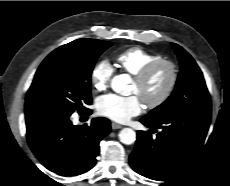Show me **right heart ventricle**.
<instances>
[{
    "label": "right heart ventricle",
    "mask_w": 230,
    "mask_h": 186,
    "mask_svg": "<svg viewBox=\"0 0 230 186\" xmlns=\"http://www.w3.org/2000/svg\"><path fill=\"white\" fill-rule=\"evenodd\" d=\"M161 58V55L144 48L130 47L116 56V64L120 69L134 76L143 68Z\"/></svg>",
    "instance_id": "obj_1"
}]
</instances>
